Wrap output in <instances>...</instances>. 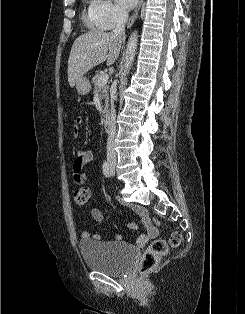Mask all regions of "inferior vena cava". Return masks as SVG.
<instances>
[{
  "label": "inferior vena cava",
  "mask_w": 245,
  "mask_h": 314,
  "mask_svg": "<svg viewBox=\"0 0 245 314\" xmlns=\"http://www.w3.org/2000/svg\"><path fill=\"white\" fill-rule=\"evenodd\" d=\"M128 21V13L125 10H119L116 13V26L113 29V35L122 43L125 41V25ZM111 93V117L109 122L108 139H107V160L116 163L115 137H116V111L114 100L116 95V82Z\"/></svg>",
  "instance_id": "1"
}]
</instances>
